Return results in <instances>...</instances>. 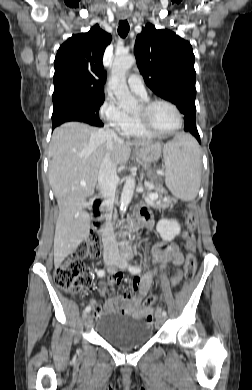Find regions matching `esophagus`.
<instances>
[{"mask_svg":"<svg viewBox=\"0 0 252 390\" xmlns=\"http://www.w3.org/2000/svg\"><path fill=\"white\" fill-rule=\"evenodd\" d=\"M122 18L124 19V18H126L125 16H122Z\"/></svg>","mask_w":252,"mask_h":390,"instance_id":"1","label":"esophagus"}]
</instances>
